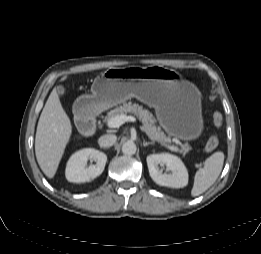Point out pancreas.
Listing matches in <instances>:
<instances>
[{
  "label": "pancreas",
  "mask_w": 261,
  "mask_h": 254,
  "mask_svg": "<svg viewBox=\"0 0 261 254\" xmlns=\"http://www.w3.org/2000/svg\"><path fill=\"white\" fill-rule=\"evenodd\" d=\"M127 113L134 114L139 118L143 124V130L151 140L158 141L164 145L170 143V138L165 136L160 127L155 126L156 121L153 114L136 103L132 104L131 102H128L124 103L122 106L116 107L107 114L105 120L108 121L115 116L126 115ZM189 150L190 147L188 144L182 145L181 152L183 155H185Z\"/></svg>",
  "instance_id": "1"
}]
</instances>
